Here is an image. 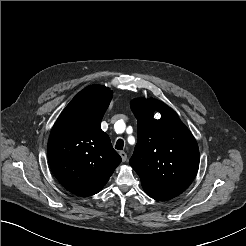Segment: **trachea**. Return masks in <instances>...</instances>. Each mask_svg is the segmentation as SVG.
I'll return each mask as SVG.
<instances>
[{"label":"trachea","mask_w":246,"mask_h":246,"mask_svg":"<svg viewBox=\"0 0 246 246\" xmlns=\"http://www.w3.org/2000/svg\"><path fill=\"white\" fill-rule=\"evenodd\" d=\"M124 146V141L122 139H118L115 145L117 150H122Z\"/></svg>","instance_id":"3493384b"}]
</instances>
